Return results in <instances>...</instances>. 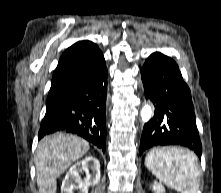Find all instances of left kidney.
I'll list each match as a JSON object with an SVG mask.
<instances>
[{
  "instance_id": "1",
  "label": "left kidney",
  "mask_w": 221,
  "mask_h": 193,
  "mask_svg": "<svg viewBox=\"0 0 221 193\" xmlns=\"http://www.w3.org/2000/svg\"><path fill=\"white\" fill-rule=\"evenodd\" d=\"M152 189L154 190L155 193H164L165 192V188L163 187V185L161 183H157V182H155L152 185Z\"/></svg>"
}]
</instances>
